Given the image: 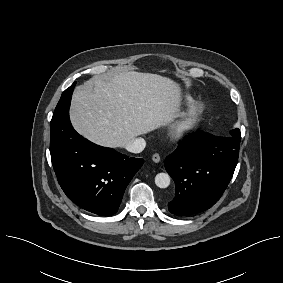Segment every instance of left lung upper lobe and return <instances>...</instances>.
Here are the masks:
<instances>
[{"label":"left lung upper lobe","mask_w":283,"mask_h":283,"mask_svg":"<svg viewBox=\"0 0 283 283\" xmlns=\"http://www.w3.org/2000/svg\"><path fill=\"white\" fill-rule=\"evenodd\" d=\"M231 136L237 139H241V133L240 130L238 128L233 129L231 132Z\"/></svg>","instance_id":"5c2ea615"}]
</instances>
